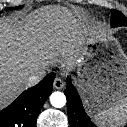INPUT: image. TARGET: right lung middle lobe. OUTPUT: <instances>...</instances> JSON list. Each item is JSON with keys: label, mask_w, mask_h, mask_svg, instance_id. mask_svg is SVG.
Returning <instances> with one entry per match:
<instances>
[{"label": "right lung middle lobe", "mask_w": 127, "mask_h": 127, "mask_svg": "<svg viewBox=\"0 0 127 127\" xmlns=\"http://www.w3.org/2000/svg\"><path fill=\"white\" fill-rule=\"evenodd\" d=\"M18 8H20V7H13V8H10V9H18ZM0 13H1V11H0Z\"/></svg>", "instance_id": "dd1d6c3e"}]
</instances>
